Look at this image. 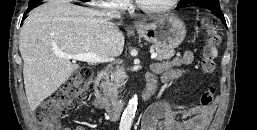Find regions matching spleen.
I'll return each instance as SVG.
<instances>
[{
    "instance_id": "3e777b00",
    "label": "spleen",
    "mask_w": 257,
    "mask_h": 130,
    "mask_svg": "<svg viewBox=\"0 0 257 130\" xmlns=\"http://www.w3.org/2000/svg\"><path fill=\"white\" fill-rule=\"evenodd\" d=\"M212 55H213L214 57H217V50H216L215 47L212 48Z\"/></svg>"
}]
</instances>
